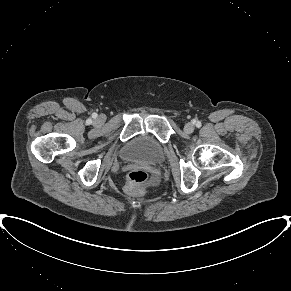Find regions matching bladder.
I'll return each instance as SVG.
<instances>
[{"mask_svg":"<svg viewBox=\"0 0 291 291\" xmlns=\"http://www.w3.org/2000/svg\"><path fill=\"white\" fill-rule=\"evenodd\" d=\"M121 157L126 161L156 164L164 158V146L154 136L141 134L123 146Z\"/></svg>","mask_w":291,"mask_h":291,"instance_id":"bladder-1","label":"bladder"}]
</instances>
